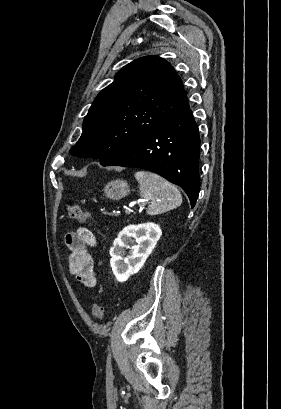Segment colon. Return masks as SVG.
<instances>
[{
    "instance_id": "obj_1",
    "label": "colon",
    "mask_w": 281,
    "mask_h": 409,
    "mask_svg": "<svg viewBox=\"0 0 281 409\" xmlns=\"http://www.w3.org/2000/svg\"><path fill=\"white\" fill-rule=\"evenodd\" d=\"M69 217L80 222H89L90 216L78 205H72L68 208ZM104 315V306L101 302H95L93 305V317L96 321H101Z\"/></svg>"
}]
</instances>
